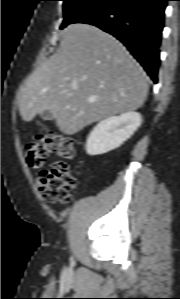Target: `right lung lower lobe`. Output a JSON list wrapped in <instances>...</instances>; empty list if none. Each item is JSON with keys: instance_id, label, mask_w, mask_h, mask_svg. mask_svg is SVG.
Returning <instances> with one entry per match:
<instances>
[{"instance_id": "right-lung-lower-lobe-1", "label": "right lung lower lobe", "mask_w": 180, "mask_h": 299, "mask_svg": "<svg viewBox=\"0 0 180 299\" xmlns=\"http://www.w3.org/2000/svg\"><path fill=\"white\" fill-rule=\"evenodd\" d=\"M166 1L103 0L73 23L91 24L115 36L157 83Z\"/></svg>"}]
</instances>
